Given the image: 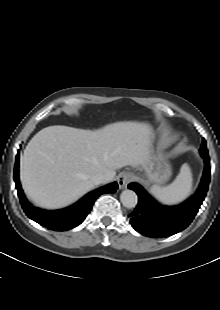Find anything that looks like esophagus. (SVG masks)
<instances>
[{
  "label": "esophagus",
  "mask_w": 220,
  "mask_h": 310,
  "mask_svg": "<svg viewBox=\"0 0 220 310\" xmlns=\"http://www.w3.org/2000/svg\"><path fill=\"white\" fill-rule=\"evenodd\" d=\"M133 180V175L131 173H121L118 178L117 182L120 189H124L127 187V185Z\"/></svg>",
  "instance_id": "esophagus-1"
}]
</instances>
